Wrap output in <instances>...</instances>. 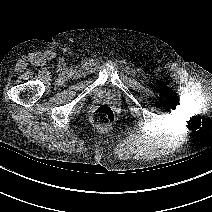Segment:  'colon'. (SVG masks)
I'll return each mask as SVG.
<instances>
[{
	"mask_svg": "<svg viewBox=\"0 0 212 212\" xmlns=\"http://www.w3.org/2000/svg\"><path fill=\"white\" fill-rule=\"evenodd\" d=\"M92 122L99 128H107L111 126L115 120V114L113 109L108 105H100L91 115Z\"/></svg>",
	"mask_w": 212,
	"mask_h": 212,
	"instance_id": "1",
	"label": "colon"
}]
</instances>
